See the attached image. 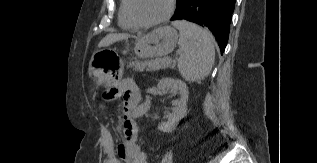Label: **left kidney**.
<instances>
[{
    "instance_id": "5707ae66",
    "label": "left kidney",
    "mask_w": 317,
    "mask_h": 163,
    "mask_svg": "<svg viewBox=\"0 0 317 163\" xmlns=\"http://www.w3.org/2000/svg\"><path fill=\"white\" fill-rule=\"evenodd\" d=\"M157 89L161 93H165L167 90H172L176 92L180 97L178 100L174 101V108L172 113L166 115V121L162 122L158 126V130L162 132H171L176 128L179 121L185 117L187 112L186 102L188 100V88L185 82L172 79V78H162L158 84Z\"/></svg>"
}]
</instances>
